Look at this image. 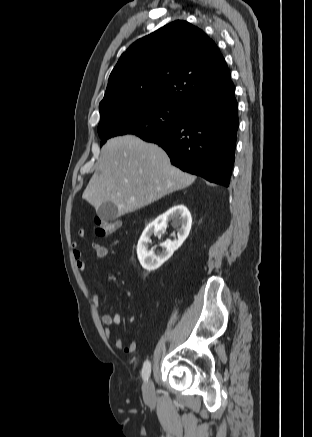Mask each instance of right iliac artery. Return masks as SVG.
Wrapping results in <instances>:
<instances>
[{
  "instance_id": "right-iliac-artery-1",
  "label": "right iliac artery",
  "mask_w": 312,
  "mask_h": 437,
  "mask_svg": "<svg viewBox=\"0 0 312 437\" xmlns=\"http://www.w3.org/2000/svg\"><path fill=\"white\" fill-rule=\"evenodd\" d=\"M151 373V363L147 360L144 362L142 368V377L144 381H147Z\"/></svg>"
}]
</instances>
